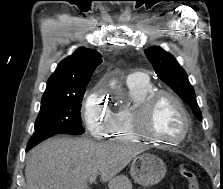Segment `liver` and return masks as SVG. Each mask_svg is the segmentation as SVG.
I'll list each match as a JSON object with an SVG mask.
<instances>
[{"label":"liver","mask_w":223,"mask_h":189,"mask_svg":"<svg viewBox=\"0 0 223 189\" xmlns=\"http://www.w3.org/2000/svg\"><path fill=\"white\" fill-rule=\"evenodd\" d=\"M142 151L135 144L53 137L29 152L25 189H88L89 178L97 174L113 188L116 175Z\"/></svg>","instance_id":"liver-1"}]
</instances>
